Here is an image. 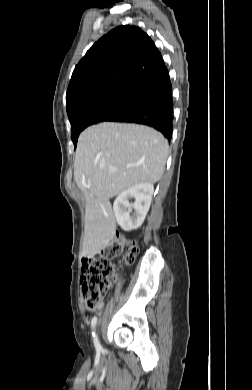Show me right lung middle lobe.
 <instances>
[{
  "label": "right lung middle lobe",
  "mask_w": 252,
  "mask_h": 390,
  "mask_svg": "<svg viewBox=\"0 0 252 390\" xmlns=\"http://www.w3.org/2000/svg\"><path fill=\"white\" fill-rule=\"evenodd\" d=\"M134 99L133 96L112 95L92 100L73 109L68 113V117L74 146L76 147L78 137L86 127L106 121L126 109Z\"/></svg>",
  "instance_id": "right-lung-middle-lobe-1"
}]
</instances>
